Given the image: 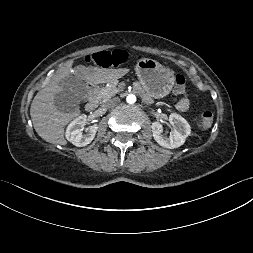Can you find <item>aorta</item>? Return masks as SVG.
<instances>
[{
    "mask_svg": "<svg viewBox=\"0 0 253 253\" xmlns=\"http://www.w3.org/2000/svg\"><path fill=\"white\" fill-rule=\"evenodd\" d=\"M128 104H134L136 102V96L133 94H129L126 98Z\"/></svg>",
    "mask_w": 253,
    "mask_h": 253,
    "instance_id": "aorta-1",
    "label": "aorta"
}]
</instances>
